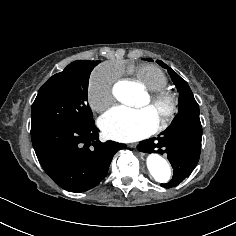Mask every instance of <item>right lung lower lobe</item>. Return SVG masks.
<instances>
[{
    "label": "right lung lower lobe",
    "mask_w": 236,
    "mask_h": 236,
    "mask_svg": "<svg viewBox=\"0 0 236 236\" xmlns=\"http://www.w3.org/2000/svg\"><path fill=\"white\" fill-rule=\"evenodd\" d=\"M94 120L32 129V144L45 172L63 189L87 191L106 177L114 154L125 144L99 141Z\"/></svg>",
    "instance_id": "right-lung-lower-lobe-1"
}]
</instances>
